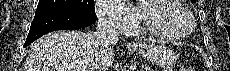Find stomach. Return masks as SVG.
Wrapping results in <instances>:
<instances>
[{
  "instance_id": "obj_1",
  "label": "stomach",
  "mask_w": 230,
  "mask_h": 71,
  "mask_svg": "<svg viewBox=\"0 0 230 71\" xmlns=\"http://www.w3.org/2000/svg\"><path fill=\"white\" fill-rule=\"evenodd\" d=\"M136 52L151 63L162 67L172 66L177 60V56L172 50L160 44L145 45L136 49Z\"/></svg>"
}]
</instances>
